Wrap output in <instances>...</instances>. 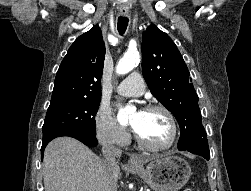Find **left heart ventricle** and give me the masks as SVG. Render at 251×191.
<instances>
[{
  "label": "left heart ventricle",
  "instance_id": "1",
  "mask_svg": "<svg viewBox=\"0 0 251 191\" xmlns=\"http://www.w3.org/2000/svg\"><path fill=\"white\" fill-rule=\"evenodd\" d=\"M135 121V117L133 122ZM137 132L151 145L164 146L171 140L172 129L167 116L161 111H145Z\"/></svg>",
  "mask_w": 251,
  "mask_h": 191
}]
</instances>
